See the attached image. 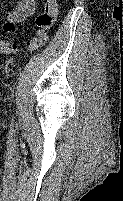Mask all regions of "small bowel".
I'll use <instances>...</instances> for the list:
<instances>
[{
    "mask_svg": "<svg viewBox=\"0 0 123 201\" xmlns=\"http://www.w3.org/2000/svg\"><path fill=\"white\" fill-rule=\"evenodd\" d=\"M35 9V0H19L13 10L5 13L4 32L14 33L17 30V24L30 17Z\"/></svg>",
    "mask_w": 123,
    "mask_h": 201,
    "instance_id": "obj_1",
    "label": "small bowel"
}]
</instances>
